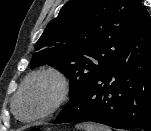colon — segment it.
Returning <instances> with one entry per match:
<instances>
[{
	"mask_svg": "<svg viewBox=\"0 0 151 131\" xmlns=\"http://www.w3.org/2000/svg\"><path fill=\"white\" fill-rule=\"evenodd\" d=\"M24 131H42V130L36 126H31V127L24 129Z\"/></svg>",
	"mask_w": 151,
	"mask_h": 131,
	"instance_id": "5ec220e1",
	"label": "colon"
}]
</instances>
